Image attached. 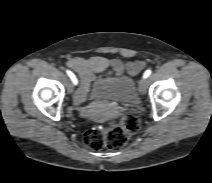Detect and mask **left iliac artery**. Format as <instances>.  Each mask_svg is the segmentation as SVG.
<instances>
[{"label": "left iliac artery", "mask_w": 212, "mask_h": 183, "mask_svg": "<svg viewBox=\"0 0 212 183\" xmlns=\"http://www.w3.org/2000/svg\"><path fill=\"white\" fill-rule=\"evenodd\" d=\"M150 74H151V70L150 69L149 70H146L145 73H144V75H143V77L144 78H147V77L150 76Z\"/></svg>", "instance_id": "obj_1"}]
</instances>
